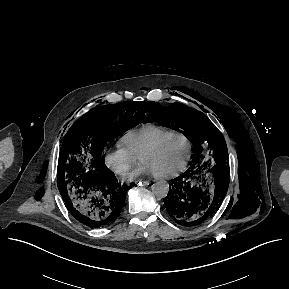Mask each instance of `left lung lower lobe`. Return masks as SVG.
<instances>
[{"label":"left lung lower lobe","instance_id":"obj_1","mask_svg":"<svg viewBox=\"0 0 289 289\" xmlns=\"http://www.w3.org/2000/svg\"><path fill=\"white\" fill-rule=\"evenodd\" d=\"M212 172V176H209ZM229 167L191 165L171 180L165 200L167 214L183 226L198 225L217 212L227 193Z\"/></svg>","mask_w":289,"mask_h":289}]
</instances>
